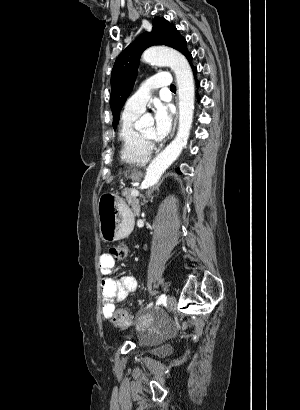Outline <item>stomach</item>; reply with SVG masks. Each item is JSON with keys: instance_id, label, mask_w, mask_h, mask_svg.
<instances>
[{"instance_id": "0dacf381", "label": "stomach", "mask_w": 300, "mask_h": 410, "mask_svg": "<svg viewBox=\"0 0 300 410\" xmlns=\"http://www.w3.org/2000/svg\"><path fill=\"white\" fill-rule=\"evenodd\" d=\"M133 180L139 176L131 174ZM97 212L99 230L105 242H113L128 236L133 228V215L125 202L116 194H103L99 198Z\"/></svg>"}]
</instances>
